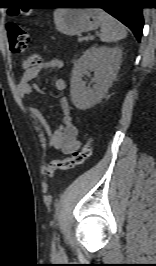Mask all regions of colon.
<instances>
[{
	"label": "colon",
	"mask_w": 156,
	"mask_h": 266,
	"mask_svg": "<svg viewBox=\"0 0 156 266\" xmlns=\"http://www.w3.org/2000/svg\"><path fill=\"white\" fill-rule=\"evenodd\" d=\"M7 37L9 47L13 53L24 52L30 43L28 32L16 24L7 25ZM41 63V56L38 53H33L26 57L23 61V66L30 69L38 66ZM84 145L80 150L74 151L71 156L61 159L52 160L46 164V173L53 177L59 170H69L84 163L92 154L93 138L89 133L84 135Z\"/></svg>",
	"instance_id": "5ec220e1"
}]
</instances>
